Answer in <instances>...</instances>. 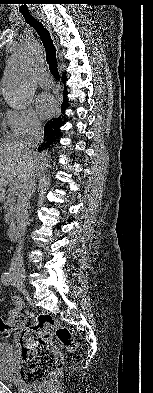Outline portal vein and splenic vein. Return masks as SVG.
<instances>
[{
    "label": "portal vein and splenic vein",
    "instance_id": "1",
    "mask_svg": "<svg viewBox=\"0 0 153 393\" xmlns=\"http://www.w3.org/2000/svg\"><path fill=\"white\" fill-rule=\"evenodd\" d=\"M20 188V185L16 182L12 185L11 189L12 191H17Z\"/></svg>",
    "mask_w": 153,
    "mask_h": 393
}]
</instances>
